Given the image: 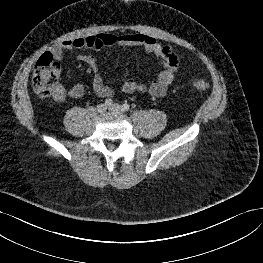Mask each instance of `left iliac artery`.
Instances as JSON below:
<instances>
[{
  "label": "left iliac artery",
  "instance_id": "1",
  "mask_svg": "<svg viewBox=\"0 0 263 263\" xmlns=\"http://www.w3.org/2000/svg\"><path fill=\"white\" fill-rule=\"evenodd\" d=\"M122 107H123V110H124V111H128L129 108H130L129 104H127V103L123 104Z\"/></svg>",
  "mask_w": 263,
  "mask_h": 263
}]
</instances>
